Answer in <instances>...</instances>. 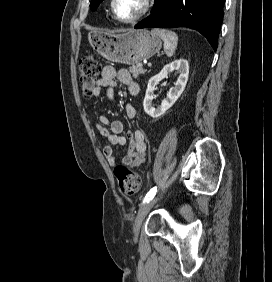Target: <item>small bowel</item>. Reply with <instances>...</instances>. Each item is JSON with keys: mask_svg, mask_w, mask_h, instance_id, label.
Listing matches in <instances>:
<instances>
[{"mask_svg": "<svg viewBox=\"0 0 272 282\" xmlns=\"http://www.w3.org/2000/svg\"><path fill=\"white\" fill-rule=\"evenodd\" d=\"M116 79L127 87L131 95L136 96L139 94V84L132 79L126 69L117 70L112 66H106L103 68L102 78L98 81V85L93 92L94 96L98 97L102 91H105L107 97L113 99L114 88L117 85ZM125 111L129 118H134L136 115V108L132 104H127ZM105 125H109L111 131ZM96 128L108 141V145L104 149L107 162L110 166H115L117 161L113 147L123 146L126 143V138L122 135L124 129L123 123L120 120H111L109 117L101 115L96 123ZM127 137L130 142V152L122 158V164L134 168L145 162L147 150L146 138L144 132L140 129L129 132Z\"/></svg>", "mask_w": 272, "mask_h": 282, "instance_id": "c3829d8e", "label": "small bowel"}]
</instances>
